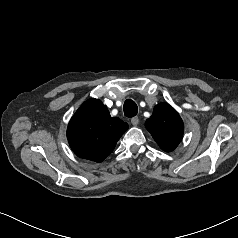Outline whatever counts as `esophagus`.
<instances>
[{"instance_id":"obj_1","label":"esophagus","mask_w":238,"mask_h":238,"mask_svg":"<svg viewBox=\"0 0 238 238\" xmlns=\"http://www.w3.org/2000/svg\"><path fill=\"white\" fill-rule=\"evenodd\" d=\"M131 123L133 126H137L139 124V118L137 116L133 117Z\"/></svg>"}]
</instances>
